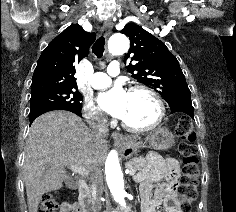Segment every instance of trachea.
<instances>
[{"instance_id": "1", "label": "trachea", "mask_w": 236, "mask_h": 212, "mask_svg": "<svg viewBox=\"0 0 236 212\" xmlns=\"http://www.w3.org/2000/svg\"><path fill=\"white\" fill-rule=\"evenodd\" d=\"M104 47H105V39L103 36H100L93 44L92 51L98 58H101L105 49Z\"/></svg>"}]
</instances>
